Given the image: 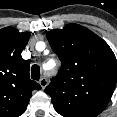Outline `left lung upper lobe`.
<instances>
[{
    "label": "left lung upper lobe",
    "mask_w": 117,
    "mask_h": 117,
    "mask_svg": "<svg viewBox=\"0 0 117 117\" xmlns=\"http://www.w3.org/2000/svg\"><path fill=\"white\" fill-rule=\"evenodd\" d=\"M61 61L45 88L63 117H96L109 102L117 80V61L109 45L89 29L70 23L46 34Z\"/></svg>",
    "instance_id": "1"
}]
</instances>
